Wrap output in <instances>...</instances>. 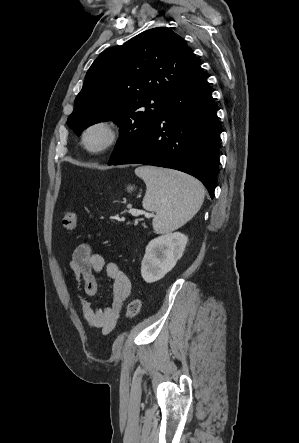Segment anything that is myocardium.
I'll use <instances>...</instances> for the list:
<instances>
[{
    "label": "myocardium",
    "mask_w": 299,
    "mask_h": 443,
    "mask_svg": "<svg viewBox=\"0 0 299 443\" xmlns=\"http://www.w3.org/2000/svg\"><path fill=\"white\" fill-rule=\"evenodd\" d=\"M97 129L105 131L106 139L102 145L91 147L88 144V136L92 131ZM122 136L123 129L117 122L111 119H98L84 128L81 135V145L87 153L91 155H101L117 146L122 139Z\"/></svg>",
    "instance_id": "1"
}]
</instances>
